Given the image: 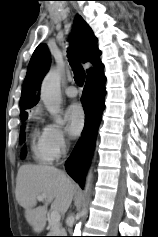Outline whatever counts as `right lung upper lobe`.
Here are the masks:
<instances>
[{
  "mask_svg": "<svg viewBox=\"0 0 158 237\" xmlns=\"http://www.w3.org/2000/svg\"><path fill=\"white\" fill-rule=\"evenodd\" d=\"M73 40L83 63L90 61L95 66L87 70V77L102 70V63L99 60L101 52L96 46L97 39L92 29L81 16L76 17L73 29ZM50 64L51 56L48 47L46 44H40L31 57L23 83L20 99V107L22 109L20 117L28 116L25 109L31 108L38 103V91Z\"/></svg>",
  "mask_w": 158,
  "mask_h": 237,
  "instance_id": "obj_1",
  "label": "right lung upper lobe"
}]
</instances>
